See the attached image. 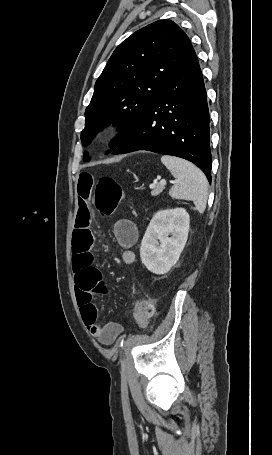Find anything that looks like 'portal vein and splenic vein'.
I'll use <instances>...</instances> for the list:
<instances>
[{"instance_id":"1","label":"portal vein and splenic vein","mask_w":272,"mask_h":455,"mask_svg":"<svg viewBox=\"0 0 272 455\" xmlns=\"http://www.w3.org/2000/svg\"><path fill=\"white\" fill-rule=\"evenodd\" d=\"M173 183L175 184L176 182H173ZM160 184H161L162 186H165V185H166V180L162 179V180L160 181Z\"/></svg>"}]
</instances>
